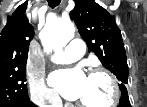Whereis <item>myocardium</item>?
Wrapping results in <instances>:
<instances>
[{"label":"myocardium","mask_w":147,"mask_h":107,"mask_svg":"<svg viewBox=\"0 0 147 107\" xmlns=\"http://www.w3.org/2000/svg\"><path fill=\"white\" fill-rule=\"evenodd\" d=\"M95 76H102L109 83L111 89L110 100L107 103L99 106H92L80 101L77 102V105L80 107H112L116 105L120 97V88L116 78L111 73H109L108 71L102 68H94L89 72L88 77H95Z\"/></svg>","instance_id":"f54148a6"}]
</instances>
